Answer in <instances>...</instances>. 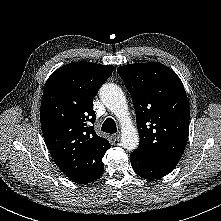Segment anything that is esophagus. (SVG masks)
<instances>
[{
    "label": "esophagus",
    "instance_id": "esophagus-1",
    "mask_svg": "<svg viewBox=\"0 0 221 221\" xmlns=\"http://www.w3.org/2000/svg\"><path fill=\"white\" fill-rule=\"evenodd\" d=\"M112 137H113V139L115 141H118L120 139V134L119 133H115V134L112 135Z\"/></svg>",
    "mask_w": 221,
    "mask_h": 221
}]
</instances>
